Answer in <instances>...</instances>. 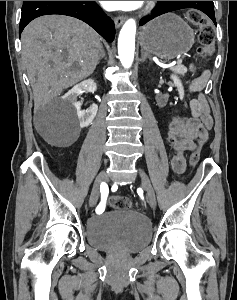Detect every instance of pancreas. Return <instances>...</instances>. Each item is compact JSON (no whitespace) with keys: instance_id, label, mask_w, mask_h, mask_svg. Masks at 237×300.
<instances>
[{"instance_id":"obj_1","label":"pancreas","mask_w":237,"mask_h":300,"mask_svg":"<svg viewBox=\"0 0 237 300\" xmlns=\"http://www.w3.org/2000/svg\"><path fill=\"white\" fill-rule=\"evenodd\" d=\"M171 71H174V73H179V75H182V73H186L187 69L186 67H184V65L179 67L175 65V67H171Z\"/></svg>"}]
</instances>
